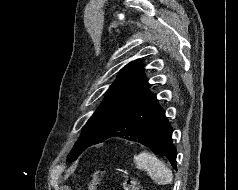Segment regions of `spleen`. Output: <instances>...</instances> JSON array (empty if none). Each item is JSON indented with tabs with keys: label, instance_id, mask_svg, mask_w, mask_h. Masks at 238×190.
I'll return each instance as SVG.
<instances>
[{
	"label": "spleen",
	"instance_id": "1",
	"mask_svg": "<svg viewBox=\"0 0 238 190\" xmlns=\"http://www.w3.org/2000/svg\"><path fill=\"white\" fill-rule=\"evenodd\" d=\"M136 167L147 171L148 175L159 185L171 184L173 180L172 171L155 155L141 152L134 156Z\"/></svg>",
	"mask_w": 238,
	"mask_h": 190
}]
</instances>
